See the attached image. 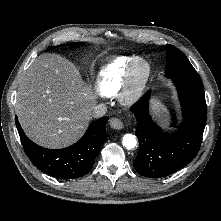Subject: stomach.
<instances>
[{"label":"stomach","instance_id":"obj_1","mask_svg":"<svg viewBox=\"0 0 221 221\" xmlns=\"http://www.w3.org/2000/svg\"><path fill=\"white\" fill-rule=\"evenodd\" d=\"M152 112L160 124L167 127L170 122V114L167 107L158 99L152 101Z\"/></svg>","mask_w":221,"mask_h":221}]
</instances>
